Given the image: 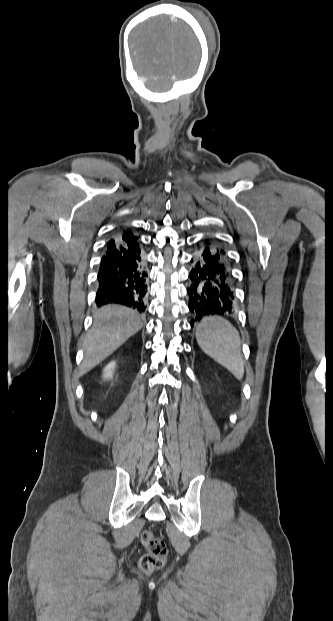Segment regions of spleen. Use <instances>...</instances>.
<instances>
[{"label": "spleen", "instance_id": "obj_1", "mask_svg": "<svg viewBox=\"0 0 333 621\" xmlns=\"http://www.w3.org/2000/svg\"><path fill=\"white\" fill-rule=\"evenodd\" d=\"M196 339L201 350L230 371L237 379L244 376L239 332L227 320L210 316L196 329Z\"/></svg>", "mask_w": 333, "mask_h": 621}]
</instances>
